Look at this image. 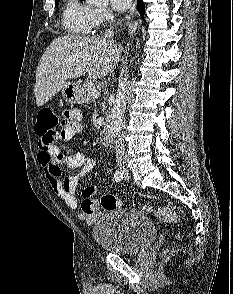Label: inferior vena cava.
<instances>
[{"instance_id": "1", "label": "inferior vena cava", "mask_w": 233, "mask_h": 294, "mask_svg": "<svg viewBox=\"0 0 233 294\" xmlns=\"http://www.w3.org/2000/svg\"><path fill=\"white\" fill-rule=\"evenodd\" d=\"M114 36L113 27L111 26L106 32L104 37L108 39H112ZM115 152H116V159L118 164H124L126 162L125 156V145H124V135L120 133L117 137L115 142Z\"/></svg>"}]
</instances>
